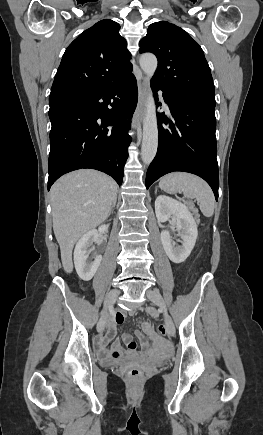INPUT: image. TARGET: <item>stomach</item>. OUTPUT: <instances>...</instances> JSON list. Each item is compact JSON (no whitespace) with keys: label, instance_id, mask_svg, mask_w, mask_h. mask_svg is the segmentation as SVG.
<instances>
[{"label":"stomach","instance_id":"obj_1","mask_svg":"<svg viewBox=\"0 0 263 435\" xmlns=\"http://www.w3.org/2000/svg\"><path fill=\"white\" fill-rule=\"evenodd\" d=\"M187 280H188L189 282H193V281L195 280V277H194L193 275H189V276L187 277Z\"/></svg>","mask_w":263,"mask_h":435}]
</instances>
